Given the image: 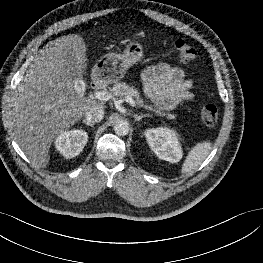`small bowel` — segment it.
<instances>
[{
	"label": "small bowel",
	"instance_id": "1",
	"mask_svg": "<svg viewBox=\"0 0 263 263\" xmlns=\"http://www.w3.org/2000/svg\"><path fill=\"white\" fill-rule=\"evenodd\" d=\"M142 80L146 95L164 109H172L193 98V83L178 67L165 63L149 66L144 70Z\"/></svg>",
	"mask_w": 263,
	"mask_h": 263
}]
</instances>
